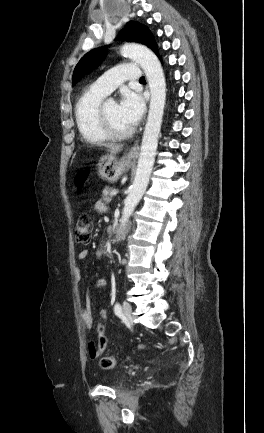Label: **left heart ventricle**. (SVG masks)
Listing matches in <instances>:
<instances>
[{"instance_id": "1", "label": "left heart ventricle", "mask_w": 264, "mask_h": 433, "mask_svg": "<svg viewBox=\"0 0 264 433\" xmlns=\"http://www.w3.org/2000/svg\"><path fill=\"white\" fill-rule=\"evenodd\" d=\"M106 111L111 124L116 130L126 131L132 128V125H130L121 115L119 105L116 102H107Z\"/></svg>"}]
</instances>
